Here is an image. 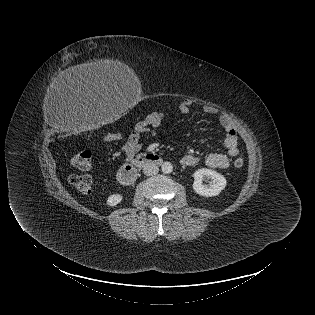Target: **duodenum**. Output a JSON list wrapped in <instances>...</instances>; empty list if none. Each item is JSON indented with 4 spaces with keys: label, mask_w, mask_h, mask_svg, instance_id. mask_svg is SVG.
<instances>
[{
    "label": "duodenum",
    "mask_w": 315,
    "mask_h": 315,
    "mask_svg": "<svg viewBox=\"0 0 315 315\" xmlns=\"http://www.w3.org/2000/svg\"><path fill=\"white\" fill-rule=\"evenodd\" d=\"M162 158L155 153H145L137 157L132 163L124 164L117 173V180L122 186H130L137 178V170L145 165H161Z\"/></svg>",
    "instance_id": "duodenum-1"
}]
</instances>
